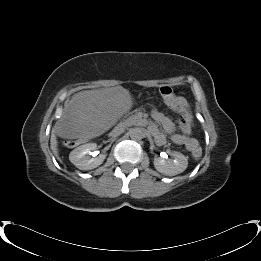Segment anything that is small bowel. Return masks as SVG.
<instances>
[{"label":"small bowel","mask_w":261,"mask_h":261,"mask_svg":"<svg viewBox=\"0 0 261 261\" xmlns=\"http://www.w3.org/2000/svg\"><path fill=\"white\" fill-rule=\"evenodd\" d=\"M151 117L154 120L155 124L161 126L163 129L167 130V131H171L173 128V123L171 122V120L166 117L161 111L157 110V109H153L151 112ZM151 129L153 134L155 135L156 141L158 143H162L163 142V136L162 134H160L156 128L155 125H151ZM171 138L180 144H187L189 141L191 140H195L193 138H191L190 136H185L183 135H177V134H172Z\"/></svg>","instance_id":"c3829d8e"}]
</instances>
